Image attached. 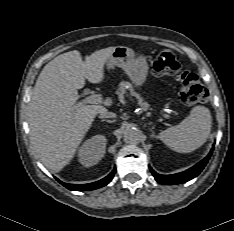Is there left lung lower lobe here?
Masks as SVG:
<instances>
[{"mask_svg":"<svg viewBox=\"0 0 234 231\" xmlns=\"http://www.w3.org/2000/svg\"><path fill=\"white\" fill-rule=\"evenodd\" d=\"M213 148L206 158H204L198 164H196L195 166L191 167L190 169L184 172L172 174V175H161V174L156 173L151 167H149L150 171L152 172L156 181L161 184L173 185V184H180V183L187 182L200 174V172L203 170L208 160L210 159L211 154L213 152Z\"/></svg>","mask_w":234,"mask_h":231,"instance_id":"left-lung-lower-lobe-1","label":"left lung lower lobe"}]
</instances>
